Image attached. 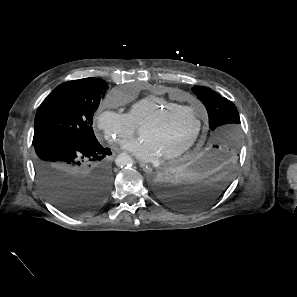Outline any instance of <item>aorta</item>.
Listing matches in <instances>:
<instances>
[{"instance_id":"762f6f07","label":"aorta","mask_w":297,"mask_h":297,"mask_svg":"<svg viewBox=\"0 0 297 297\" xmlns=\"http://www.w3.org/2000/svg\"><path fill=\"white\" fill-rule=\"evenodd\" d=\"M115 162H116V165L119 167H126L133 164L132 158L125 153L119 154Z\"/></svg>"}]
</instances>
